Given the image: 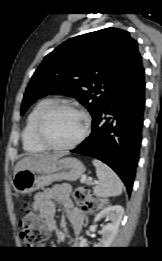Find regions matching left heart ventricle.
<instances>
[{"label": "left heart ventricle", "mask_w": 162, "mask_h": 261, "mask_svg": "<svg viewBox=\"0 0 162 261\" xmlns=\"http://www.w3.org/2000/svg\"><path fill=\"white\" fill-rule=\"evenodd\" d=\"M82 129V117L69 109H59L53 112L45 124L48 140L56 145H65L74 141Z\"/></svg>", "instance_id": "b2bd125f"}]
</instances>
